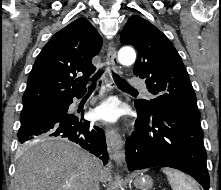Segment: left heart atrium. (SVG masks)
Returning a JSON list of instances; mask_svg holds the SVG:
<instances>
[{"instance_id": "39dd6f15", "label": "left heart atrium", "mask_w": 221, "mask_h": 190, "mask_svg": "<svg viewBox=\"0 0 221 190\" xmlns=\"http://www.w3.org/2000/svg\"><path fill=\"white\" fill-rule=\"evenodd\" d=\"M94 116L98 120L113 122L118 117V105L113 100H108L100 104L94 110Z\"/></svg>"}]
</instances>
